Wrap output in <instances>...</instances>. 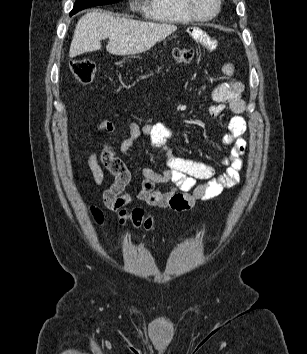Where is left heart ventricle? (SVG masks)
Returning <instances> with one entry per match:
<instances>
[{
  "instance_id": "obj_1",
  "label": "left heart ventricle",
  "mask_w": 307,
  "mask_h": 354,
  "mask_svg": "<svg viewBox=\"0 0 307 354\" xmlns=\"http://www.w3.org/2000/svg\"><path fill=\"white\" fill-rule=\"evenodd\" d=\"M194 10L202 16L212 14L216 8V0H192Z\"/></svg>"
}]
</instances>
